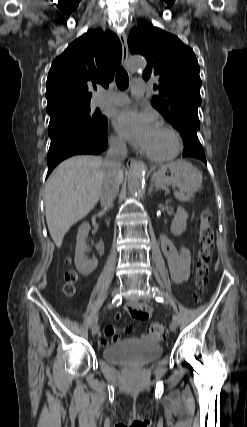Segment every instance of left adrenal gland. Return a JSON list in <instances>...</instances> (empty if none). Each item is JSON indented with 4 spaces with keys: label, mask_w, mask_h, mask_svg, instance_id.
Here are the masks:
<instances>
[{
    "label": "left adrenal gland",
    "mask_w": 247,
    "mask_h": 427,
    "mask_svg": "<svg viewBox=\"0 0 247 427\" xmlns=\"http://www.w3.org/2000/svg\"><path fill=\"white\" fill-rule=\"evenodd\" d=\"M153 191H155V190L153 189V185H151L150 188H149L148 193L151 194Z\"/></svg>",
    "instance_id": "left-adrenal-gland-1"
}]
</instances>
